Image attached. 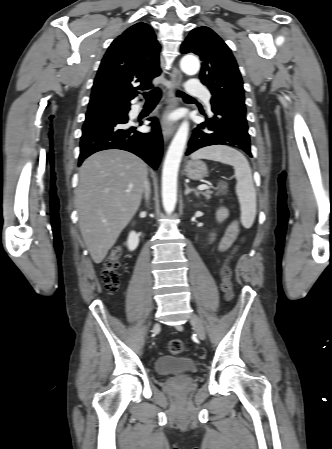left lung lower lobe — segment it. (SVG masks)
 Masks as SVG:
<instances>
[{
	"mask_svg": "<svg viewBox=\"0 0 332 449\" xmlns=\"http://www.w3.org/2000/svg\"><path fill=\"white\" fill-rule=\"evenodd\" d=\"M213 115L193 131L186 155L210 145H228L252 156L246 114L212 107Z\"/></svg>",
	"mask_w": 332,
	"mask_h": 449,
	"instance_id": "1",
	"label": "left lung lower lobe"
}]
</instances>
